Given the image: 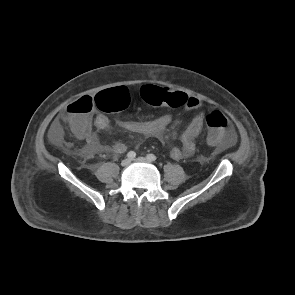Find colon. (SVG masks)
Segmentation results:
<instances>
[{"instance_id":"1","label":"colon","mask_w":295,"mask_h":295,"mask_svg":"<svg viewBox=\"0 0 295 295\" xmlns=\"http://www.w3.org/2000/svg\"><path fill=\"white\" fill-rule=\"evenodd\" d=\"M142 98L155 106L177 108L184 106L188 96L182 92H173L155 85H145L141 89ZM133 99V92L125 86H118L99 92L94 97L85 96L67 106L66 119L72 129L87 117L94 108L103 112H115L125 109ZM208 127L207 142L216 145L228 141L232 130L227 118L220 111H211L205 117Z\"/></svg>"}]
</instances>
